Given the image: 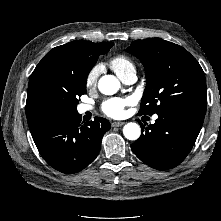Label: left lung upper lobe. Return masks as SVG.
<instances>
[{
  "instance_id": "obj_1",
  "label": "left lung upper lobe",
  "mask_w": 221,
  "mask_h": 221,
  "mask_svg": "<svg viewBox=\"0 0 221 221\" xmlns=\"http://www.w3.org/2000/svg\"><path fill=\"white\" fill-rule=\"evenodd\" d=\"M127 52L139 58L145 67L147 84L140 115H160L174 109L205 114L204 72L183 47L160 38H150L132 42Z\"/></svg>"
}]
</instances>
